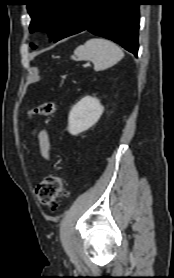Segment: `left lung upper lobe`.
<instances>
[{"label": "left lung upper lobe", "instance_id": "obj_1", "mask_svg": "<svg viewBox=\"0 0 174 278\" xmlns=\"http://www.w3.org/2000/svg\"><path fill=\"white\" fill-rule=\"evenodd\" d=\"M79 0H29L30 31H47L51 40L58 37L71 19ZM35 48L34 45H32Z\"/></svg>", "mask_w": 174, "mask_h": 278}]
</instances>
